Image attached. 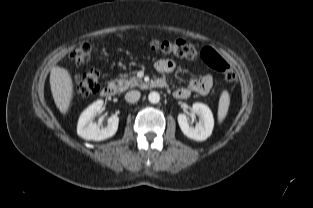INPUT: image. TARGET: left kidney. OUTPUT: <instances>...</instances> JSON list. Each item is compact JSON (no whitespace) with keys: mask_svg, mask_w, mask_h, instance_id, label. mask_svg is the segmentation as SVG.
Listing matches in <instances>:
<instances>
[{"mask_svg":"<svg viewBox=\"0 0 313 208\" xmlns=\"http://www.w3.org/2000/svg\"><path fill=\"white\" fill-rule=\"evenodd\" d=\"M192 110L199 116V122L195 127L190 126L185 114L178 115V124L181 131L188 138L196 141L206 140L212 133L214 127V118L210 108L202 103H194Z\"/></svg>","mask_w":313,"mask_h":208,"instance_id":"1","label":"left kidney"}]
</instances>
